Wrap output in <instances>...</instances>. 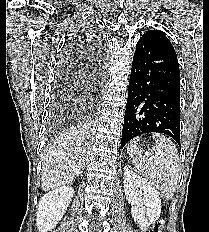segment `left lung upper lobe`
<instances>
[{
  "instance_id": "obj_1",
  "label": "left lung upper lobe",
  "mask_w": 209,
  "mask_h": 232,
  "mask_svg": "<svg viewBox=\"0 0 209 232\" xmlns=\"http://www.w3.org/2000/svg\"><path fill=\"white\" fill-rule=\"evenodd\" d=\"M140 39L144 40H161L171 50L175 51L170 41L167 39L165 34L160 30H149L142 35Z\"/></svg>"
}]
</instances>
